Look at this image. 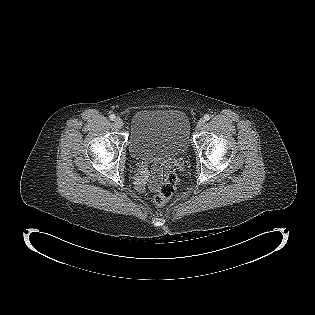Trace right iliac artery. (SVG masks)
Here are the masks:
<instances>
[{
    "instance_id": "82829eb1",
    "label": "right iliac artery",
    "mask_w": 315,
    "mask_h": 315,
    "mask_svg": "<svg viewBox=\"0 0 315 315\" xmlns=\"http://www.w3.org/2000/svg\"><path fill=\"white\" fill-rule=\"evenodd\" d=\"M109 118H110V120L114 121L115 118H116V116H115L114 114H111V115L109 116Z\"/></svg>"
}]
</instances>
